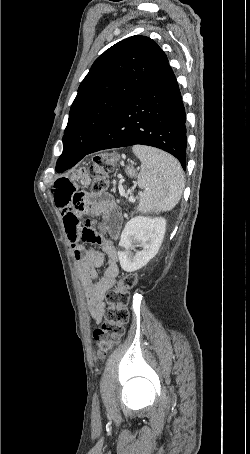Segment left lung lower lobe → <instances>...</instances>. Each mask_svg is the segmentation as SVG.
Masks as SVG:
<instances>
[{
	"label": "left lung lower lobe",
	"instance_id": "1",
	"mask_svg": "<svg viewBox=\"0 0 250 454\" xmlns=\"http://www.w3.org/2000/svg\"><path fill=\"white\" fill-rule=\"evenodd\" d=\"M185 122L178 83L167 63L115 113L84 155L62 154L56 171L70 169L87 154L136 144L157 147L172 154L185 170Z\"/></svg>",
	"mask_w": 250,
	"mask_h": 454
}]
</instances>
